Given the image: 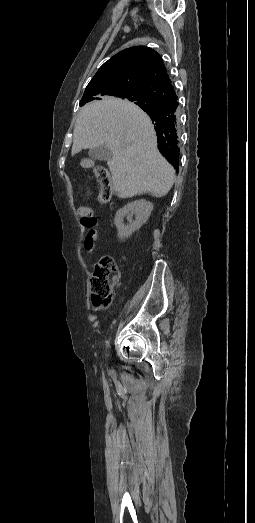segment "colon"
I'll return each mask as SVG.
<instances>
[{
    "label": "colon",
    "mask_w": 255,
    "mask_h": 523,
    "mask_svg": "<svg viewBox=\"0 0 255 523\" xmlns=\"http://www.w3.org/2000/svg\"><path fill=\"white\" fill-rule=\"evenodd\" d=\"M95 174L100 185L98 199L101 203L107 204L112 197L109 173L105 168L98 167L95 170ZM79 215L85 225L94 221L93 208L90 205L80 206ZM118 279L119 272L112 257L108 255L102 256L96 262L90 280L92 303L96 308H106L111 304Z\"/></svg>",
    "instance_id": "obj_1"
}]
</instances>
